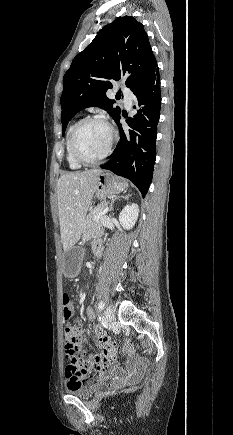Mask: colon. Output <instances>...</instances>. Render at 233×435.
Wrapping results in <instances>:
<instances>
[{
  "label": "colon",
  "instance_id": "obj_1",
  "mask_svg": "<svg viewBox=\"0 0 233 435\" xmlns=\"http://www.w3.org/2000/svg\"><path fill=\"white\" fill-rule=\"evenodd\" d=\"M62 304H63V315L66 319H70L73 315V309H72V303L67 293L63 294L62 298ZM64 337H65V359L68 362L69 365L78 367L79 361H78V341H79V330L78 328L73 324H67L64 328ZM128 342L123 344V346H127ZM117 348V344L113 341L108 342L105 345V352L111 353L114 352ZM102 366V362L99 360H96L92 365V370H99V368ZM86 369H80V374L83 376H86L87 374ZM90 381L82 380L77 385L83 386L84 384H88Z\"/></svg>",
  "mask_w": 233,
  "mask_h": 435
}]
</instances>
